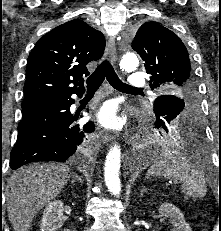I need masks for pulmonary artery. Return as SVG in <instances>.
I'll return each instance as SVG.
<instances>
[{
	"instance_id": "e3ab8cb5",
	"label": "pulmonary artery",
	"mask_w": 221,
	"mask_h": 231,
	"mask_svg": "<svg viewBox=\"0 0 221 231\" xmlns=\"http://www.w3.org/2000/svg\"><path fill=\"white\" fill-rule=\"evenodd\" d=\"M130 87L138 88L146 85V78L140 73H133L128 81Z\"/></svg>"
}]
</instances>
